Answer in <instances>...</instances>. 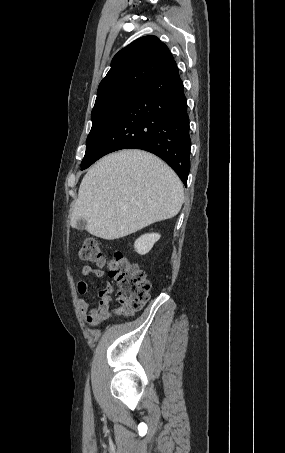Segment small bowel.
Here are the masks:
<instances>
[{
  "mask_svg": "<svg viewBox=\"0 0 285 453\" xmlns=\"http://www.w3.org/2000/svg\"><path fill=\"white\" fill-rule=\"evenodd\" d=\"M82 274L86 277H97L103 278L104 271L101 269L92 268L90 266H84L82 268ZM77 292L81 296L77 300L78 309L81 317L90 325H97L100 322L106 320L110 316L109 305L111 302V294L113 292V286L111 283L106 282L103 289L99 291V302L96 306L90 308L87 300L84 298L89 294V285L87 282L80 280L77 283ZM115 313H121V309H115Z\"/></svg>",
  "mask_w": 285,
  "mask_h": 453,
  "instance_id": "c3829d8e",
  "label": "small bowel"
}]
</instances>
